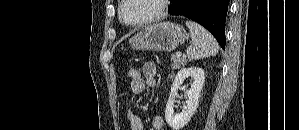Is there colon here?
I'll list each match as a JSON object with an SVG mask.
<instances>
[{"label":"colon","mask_w":299,"mask_h":130,"mask_svg":"<svg viewBox=\"0 0 299 130\" xmlns=\"http://www.w3.org/2000/svg\"><path fill=\"white\" fill-rule=\"evenodd\" d=\"M128 78L130 80V84L136 83L141 79V73L137 68L131 67L128 70Z\"/></svg>","instance_id":"colon-1"}]
</instances>
